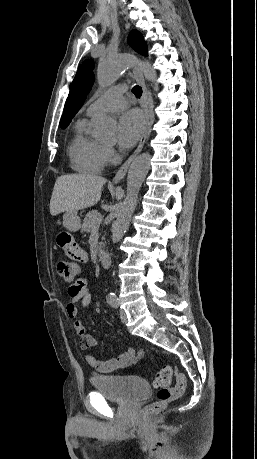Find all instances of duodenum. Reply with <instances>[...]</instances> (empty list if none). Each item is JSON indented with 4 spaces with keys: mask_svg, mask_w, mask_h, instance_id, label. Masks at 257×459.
Returning <instances> with one entry per match:
<instances>
[{
    "mask_svg": "<svg viewBox=\"0 0 257 459\" xmlns=\"http://www.w3.org/2000/svg\"><path fill=\"white\" fill-rule=\"evenodd\" d=\"M111 264V256L109 252L101 251L99 253V265L102 268H106Z\"/></svg>",
    "mask_w": 257,
    "mask_h": 459,
    "instance_id": "duodenum-1",
    "label": "duodenum"
}]
</instances>
